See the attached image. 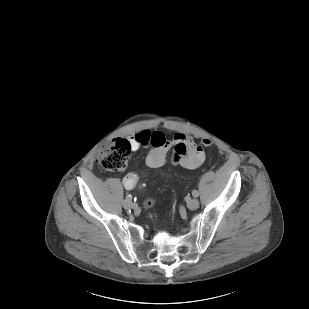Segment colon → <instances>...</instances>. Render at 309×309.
Segmentation results:
<instances>
[{
  "mask_svg": "<svg viewBox=\"0 0 309 309\" xmlns=\"http://www.w3.org/2000/svg\"><path fill=\"white\" fill-rule=\"evenodd\" d=\"M203 145L209 147L210 140H203ZM131 143L127 139H117L103 145L97 153V162L101 168L110 172L122 171L126 168L131 154ZM153 205L151 200L145 201V206Z\"/></svg>",
  "mask_w": 309,
  "mask_h": 309,
  "instance_id": "obj_1",
  "label": "colon"
}]
</instances>
